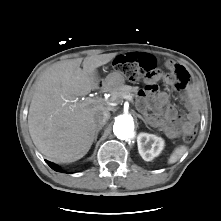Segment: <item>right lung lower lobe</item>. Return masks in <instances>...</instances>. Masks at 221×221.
I'll list each match as a JSON object with an SVG mask.
<instances>
[{"label":"right lung lower lobe","instance_id":"98d812e1","mask_svg":"<svg viewBox=\"0 0 221 221\" xmlns=\"http://www.w3.org/2000/svg\"><path fill=\"white\" fill-rule=\"evenodd\" d=\"M46 162H47V164H48L53 170H55V171H57V172H63V171L61 170V168L58 167L57 165H55L54 163L49 162V161H47V160H46Z\"/></svg>","mask_w":221,"mask_h":221}]
</instances>
